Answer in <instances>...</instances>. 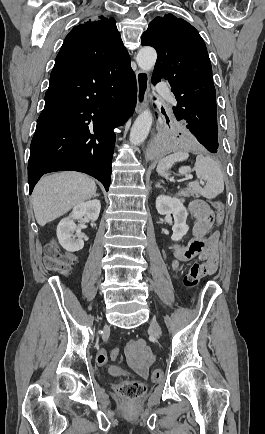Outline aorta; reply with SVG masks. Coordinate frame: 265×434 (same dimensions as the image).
<instances>
[{
	"instance_id": "1",
	"label": "aorta",
	"mask_w": 265,
	"mask_h": 434,
	"mask_svg": "<svg viewBox=\"0 0 265 434\" xmlns=\"http://www.w3.org/2000/svg\"><path fill=\"white\" fill-rule=\"evenodd\" d=\"M157 60L156 50L154 48H141L136 56V62L143 72H150L155 66ZM152 114L150 110H144L136 118L130 130V144L140 146L146 140L152 126Z\"/></svg>"
}]
</instances>
